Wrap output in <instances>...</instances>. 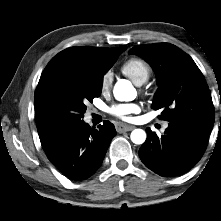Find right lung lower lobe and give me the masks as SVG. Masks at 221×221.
<instances>
[{
	"label": "right lung lower lobe",
	"instance_id": "right-lung-lower-lobe-1",
	"mask_svg": "<svg viewBox=\"0 0 221 221\" xmlns=\"http://www.w3.org/2000/svg\"><path fill=\"white\" fill-rule=\"evenodd\" d=\"M115 135V127L109 121H104L98 129L80 121L57 136L44 151L56 168L70 180H84L101 166Z\"/></svg>",
	"mask_w": 221,
	"mask_h": 221
}]
</instances>
